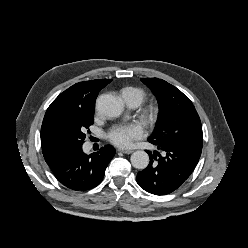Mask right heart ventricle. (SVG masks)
<instances>
[{
	"label": "right heart ventricle",
	"instance_id": "1",
	"mask_svg": "<svg viewBox=\"0 0 248 248\" xmlns=\"http://www.w3.org/2000/svg\"><path fill=\"white\" fill-rule=\"evenodd\" d=\"M121 95L124 98L125 96H132L139 100L141 103L144 100L145 93L142 89L138 87H126L121 91Z\"/></svg>",
	"mask_w": 248,
	"mask_h": 248
}]
</instances>
